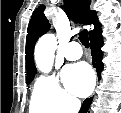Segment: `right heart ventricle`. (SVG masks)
Here are the masks:
<instances>
[{
  "instance_id": "right-heart-ventricle-1",
  "label": "right heart ventricle",
  "mask_w": 121,
  "mask_h": 113,
  "mask_svg": "<svg viewBox=\"0 0 121 113\" xmlns=\"http://www.w3.org/2000/svg\"><path fill=\"white\" fill-rule=\"evenodd\" d=\"M29 113H48V110L37 100L35 89L29 102Z\"/></svg>"
}]
</instances>
